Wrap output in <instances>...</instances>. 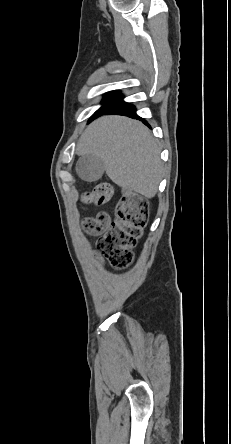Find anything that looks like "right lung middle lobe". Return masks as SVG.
Masks as SVG:
<instances>
[{
  "label": "right lung middle lobe",
  "instance_id": "right-lung-middle-lobe-1",
  "mask_svg": "<svg viewBox=\"0 0 231 444\" xmlns=\"http://www.w3.org/2000/svg\"><path fill=\"white\" fill-rule=\"evenodd\" d=\"M122 98L123 97L121 96V94L118 91L107 93L104 97L103 102H102L103 106L98 111L95 112V114L92 116L90 121L93 120L94 118L98 117L100 114H102L104 111L111 108L112 106H114L118 102H120L122 100Z\"/></svg>",
  "mask_w": 231,
  "mask_h": 444
}]
</instances>
